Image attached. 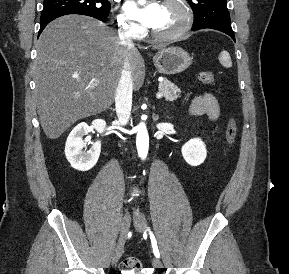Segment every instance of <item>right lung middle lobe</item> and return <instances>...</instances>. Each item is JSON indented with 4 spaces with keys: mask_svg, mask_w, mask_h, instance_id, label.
Segmentation results:
<instances>
[{
    "mask_svg": "<svg viewBox=\"0 0 289 274\" xmlns=\"http://www.w3.org/2000/svg\"><path fill=\"white\" fill-rule=\"evenodd\" d=\"M62 12H81L107 18L110 3L107 0H44L41 17Z\"/></svg>",
    "mask_w": 289,
    "mask_h": 274,
    "instance_id": "dd1d6c3e",
    "label": "right lung middle lobe"
}]
</instances>
